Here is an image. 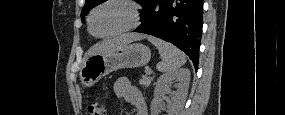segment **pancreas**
<instances>
[{"mask_svg":"<svg viewBox=\"0 0 285 115\" xmlns=\"http://www.w3.org/2000/svg\"><path fill=\"white\" fill-rule=\"evenodd\" d=\"M153 78L149 77L147 75L142 76V78L139 80V83L143 85L144 87H148L150 83L152 82Z\"/></svg>","mask_w":285,"mask_h":115,"instance_id":"1","label":"pancreas"}]
</instances>
